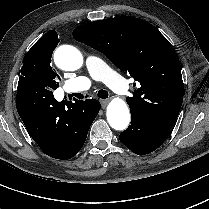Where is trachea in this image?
<instances>
[{"instance_id":"trachea-1","label":"trachea","mask_w":209,"mask_h":209,"mask_svg":"<svg viewBox=\"0 0 209 209\" xmlns=\"http://www.w3.org/2000/svg\"><path fill=\"white\" fill-rule=\"evenodd\" d=\"M79 95H80L79 98H83L84 97L82 94H79ZM97 95H98L99 98L105 99V98L108 97V92L106 90L101 89V90L98 91ZM87 96L88 95L86 94V97Z\"/></svg>"}]
</instances>
